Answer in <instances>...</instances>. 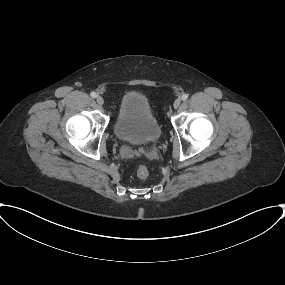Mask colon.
<instances>
[{
  "label": "colon",
  "instance_id": "obj_1",
  "mask_svg": "<svg viewBox=\"0 0 285 285\" xmlns=\"http://www.w3.org/2000/svg\"><path fill=\"white\" fill-rule=\"evenodd\" d=\"M137 176L141 179H145L149 176V169L144 165H139L136 169Z\"/></svg>",
  "mask_w": 285,
  "mask_h": 285
}]
</instances>
